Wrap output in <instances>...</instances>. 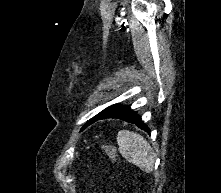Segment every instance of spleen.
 <instances>
[{
	"label": "spleen",
	"mask_w": 221,
	"mask_h": 193,
	"mask_svg": "<svg viewBox=\"0 0 221 193\" xmlns=\"http://www.w3.org/2000/svg\"><path fill=\"white\" fill-rule=\"evenodd\" d=\"M120 154L129 162L150 173L154 168L151 146L143 136L129 130H121L117 135Z\"/></svg>",
	"instance_id": "3e777b00"
}]
</instances>
